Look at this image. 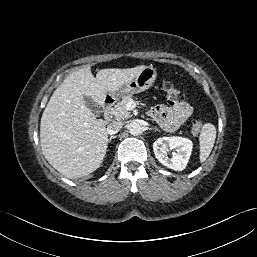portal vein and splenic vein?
I'll return each instance as SVG.
<instances>
[{
  "mask_svg": "<svg viewBox=\"0 0 257 257\" xmlns=\"http://www.w3.org/2000/svg\"><path fill=\"white\" fill-rule=\"evenodd\" d=\"M133 104H134V102H133V101L128 102V104H127V108H130Z\"/></svg>",
  "mask_w": 257,
  "mask_h": 257,
  "instance_id": "18ae733b",
  "label": "portal vein and splenic vein"
}]
</instances>
